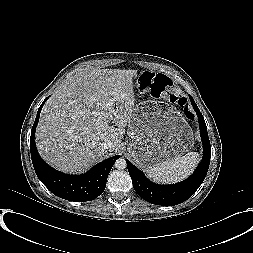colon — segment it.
Segmentation results:
<instances>
[{"label":"colon","instance_id":"obj_1","mask_svg":"<svg viewBox=\"0 0 253 253\" xmlns=\"http://www.w3.org/2000/svg\"><path fill=\"white\" fill-rule=\"evenodd\" d=\"M140 89L148 92L154 99H164L176 109L184 107L185 114L189 116V111L185 107L186 96L177 90L174 85L162 74L144 72L139 75Z\"/></svg>","mask_w":253,"mask_h":253}]
</instances>
